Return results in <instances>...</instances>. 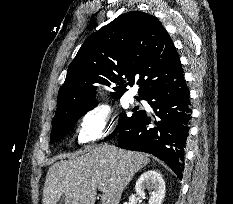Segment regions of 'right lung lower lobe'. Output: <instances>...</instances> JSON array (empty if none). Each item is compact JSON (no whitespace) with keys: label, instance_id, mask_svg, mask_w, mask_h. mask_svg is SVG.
I'll return each instance as SVG.
<instances>
[{"label":"right lung lower lobe","instance_id":"obj_1","mask_svg":"<svg viewBox=\"0 0 233 204\" xmlns=\"http://www.w3.org/2000/svg\"><path fill=\"white\" fill-rule=\"evenodd\" d=\"M158 120L148 127L151 117L141 111L117 135L121 148L153 154L163 160L181 179L191 119L190 92L181 62L173 64L143 96Z\"/></svg>","mask_w":233,"mask_h":204}]
</instances>
